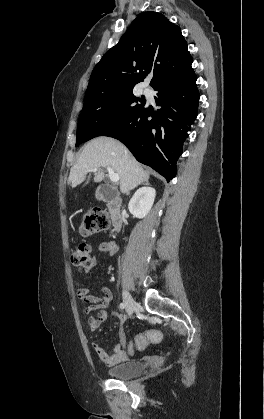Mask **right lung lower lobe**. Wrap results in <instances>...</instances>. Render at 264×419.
I'll list each match as a JSON object with an SVG mask.
<instances>
[{"label":"right lung lower lobe","mask_w":264,"mask_h":419,"mask_svg":"<svg viewBox=\"0 0 264 419\" xmlns=\"http://www.w3.org/2000/svg\"><path fill=\"white\" fill-rule=\"evenodd\" d=\"M196 79L193 71L157 83L152 88L157 91L158 110L144 105L103 136L120 140L139 162L170 181L176 175V161L198 114Z\"/></svg>","instance_id":"obj_1"}]
</instances>
